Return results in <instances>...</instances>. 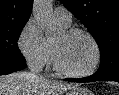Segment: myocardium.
Segmentation results:
<instances>
[{"mask_svg": "<svg viewBox=\"0 0 119 95\" xmlns=\"http://www.w3.org/2000/svg\"><path fill=\"white\" fill-rule=\"evenodd\" d=\"M64 32L66 36L68 37L78 35V34L86 36L94 46L95 59H94L92 66L88 70L83 71V72L72 71L64 65L61 59L59 48L56 44H54L53 61H54V66L56 70L66 76L73 77V78H85V77H89L93 75L98 70L100 63H101V59H102V51H101V47L97 39L89 31L82 29V28L71 27V28L66 29Z\"/></svg>", "mask_w": 119, "mask_h": 95, "instance_id": "1", "label": "myocardium"}]
</instances>
